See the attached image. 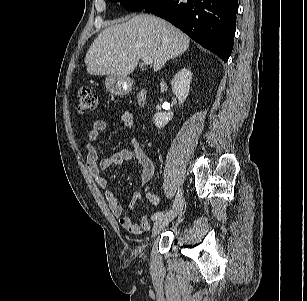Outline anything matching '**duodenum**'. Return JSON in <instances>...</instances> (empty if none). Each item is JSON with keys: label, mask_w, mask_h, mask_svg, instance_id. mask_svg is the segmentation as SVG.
I'll return each mask as SVG.
<instances>
[{"label": "duodenum", "mask_w": 307, "mask_h": 301, "mask_svg": "<svg viewBox=\"0 0 307 301\" xmlns=\"http://www.w3.org/2000/svg\"><path fill=\"white\" fill-rule=\"evenodd\" d=\"M138 102L139 104H145L147 102V91L145 88H142L138 93Z\"/></svg>", "instance_id": "410a0bca"}]
</instances>
